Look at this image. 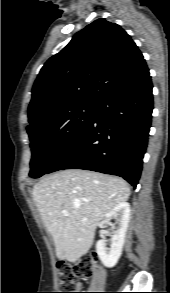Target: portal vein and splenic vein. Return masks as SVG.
<instances>
[{"mask_svg":"<svg viewBox=\"0 0 170 293\" xmlns=\"http://www.w3.org/2000/svg\"><path fill=\"white\" fill-rule=\"evenodd\" d=\"M62 214H63L64 216L69 215V213H68L66 210H63V211H62Z\"/></svg>","mask_w":170,"mask_h":293,"instance_id":"obj_1","label":"portal vein and splenic vein"}]
</instances>
